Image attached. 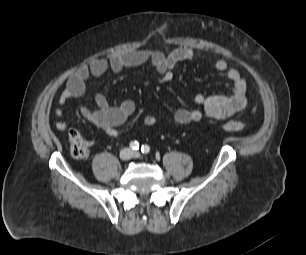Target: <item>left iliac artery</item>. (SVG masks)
<instances>
[{"mask_svg": "<svg viewBox=\"0 0 306 255\" xmlns=\"http://www.w3.org/2000/svg\"><path fill=\"white\" fill-rule=\"evenodd\" d=\"M141 151H142V153H143V154H147V153H149V152H150V146H149V145H147V144L142 145V147H141Z\"/></svg>", "mask_w": 306, "mask_h": 255, "instance_id": "obj_1", "label": "left iliac artery"}]
</instances>
